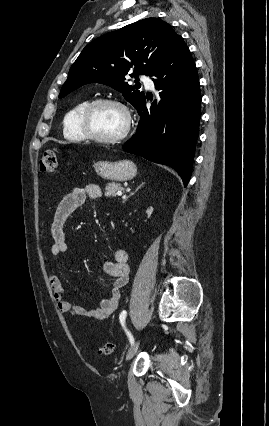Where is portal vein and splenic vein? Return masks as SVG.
<instances>
[{
    "label": "portal vein and splenic vein",
    "mask_w": 269,
    "mask_h": 426,
    "mask_svg": "<svg viewBox=\"0 0 269 426\" xmlns=\"http://www.w3.org/2000/svg\"><path fill=\"white\" fill-rule=\"evenodd\" d=\"M122 194H123V193H122V191H118V192H117V195H118V196H122Z\"/></svg>",
    "instance_id": "18ae733b"
}]
</instances>
